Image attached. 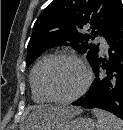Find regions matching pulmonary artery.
<instances>
[{"instance_id": "e3ab8cb5", "label": "pulmonary artery", "mask_w": 123, "mask_h": 130, "mask_svg": "<svg viewBox=\"0 0 123 130\" xmlns=\"http://www.w3.org/2000/svg\"><path fill=\"white\" fill-rule=\"evenodd\" d=\"M99 41H100L101 50H102V51H107V49H108V44H107V42L105 41V39L99 38Z\"/></svg>"}]
</instances>
